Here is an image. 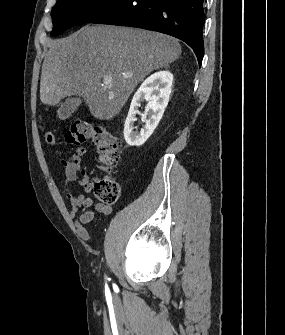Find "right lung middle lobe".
Returning <instances> with one entry per match:
<instances>
[{"label": "right lung middle lobe", "instance_id": "1", "mask_svg": "<svg viewBox=\"0 0 285 335\" xmlns=\"http://www.w3.org/2000/svg\"><path fill=\"white\" fill-rule=\"evenodd\" d=\"M120 0H57L52 10L53 30L57 36L68 28L89 22Z\"/></svg>", "mask_w": 285, "mask_h": 335}]
</instances>
